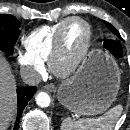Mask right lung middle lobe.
Wrapping results in <instances>:
<instances>
[{"instance_id": "right-lung-middle-lobe-1", "label": "right lung middle lobe", "mask_w": 130, "mask_h": 130, "mask_svg": "<svg viewBox=\"0 0 130 130\" xmlns=\"http://www.w3.org/2000/svg\"><path fill=\"white\" fill-rule=\"evenodd\" d=\"M20 22L12 15H0V50L13 54L14 45L20 34Z\"/></svg>"}]
</instances>
